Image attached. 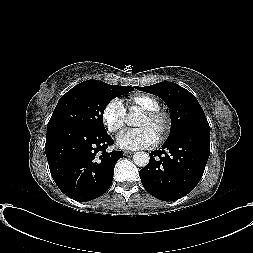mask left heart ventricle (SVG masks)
<instances>
[{
  "mask_svg": "<svg viewBox=\"0 0 253 253\" xmlns=\"http://www.w3.org/2000/svg\"><path fill=\"white\" fill-rule=\"evenodd\" d=\"M138 127L139 128L149 127L152 130H154L157 135L159 134V125L156 122L152 121L150 118H148L145 115L141 116V118H140V120L138 122Z\"/></svg>",
  "mask_w": 253,
  "mask_h": 253,
  "instance_id": "b2bd125f",
  "label": "left heart ventricle"
}]
</instances>
